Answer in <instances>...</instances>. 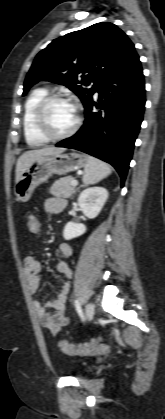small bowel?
<instances>
[{
    "instance_id": "small-bowel-1",
    "label": "small bowel",
    "mask_w": 165,
    "mask_h": 419,
    "mask_svg": "<svg viewBox=\"0 0 165 419\" xmlns=\"http://www.w3.org/2000/svg\"><path fill=\"white\" fill-rule=\"evenodd\" d=\"M65 207L66 201L61 198H49L44 203L45 211L50 214H60L64 211ZM39 231L40 226L37 232L31 233L37 234ZM58 254L60 259L56 263V270L65 277L66 281L63 283L55 299L45 303L38 300L33 302L35 312L42 327L54 335L58 334L70 323V319L64 312L69 294V283L67 280L72 276V271L67 263V259L73 255V249L69 244L61 243L58 247ZM24 273L28 291L30 294L35 295L40 287L41 264L34 256H28L25 259Z\"/></svg>"
}]
</instances>
